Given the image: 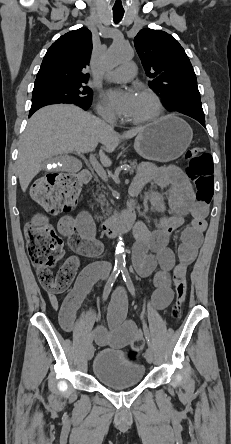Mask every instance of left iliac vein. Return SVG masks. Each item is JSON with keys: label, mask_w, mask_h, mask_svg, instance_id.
<instances>
[{"label": "left iliac vein", "mask_w": 231, "mask_h": 444, "mask_svg": "<svg viewBox=\"0 0 231 444\" xmlns=\"http://www.w3.org/2000/svg\"><path fill=\"white\" fill-rule=\"evenodd\" d=\"M145 358L149 363L153 362V351L150 347L145 351Z\"/></svg>", "instance_id": "left-iliac-vein-1"}]
</instances>
